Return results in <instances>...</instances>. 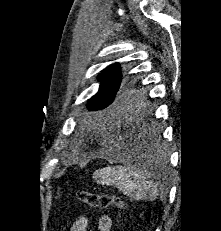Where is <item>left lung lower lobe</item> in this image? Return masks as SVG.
Segmentation results:
<instances>
[{"mask_svg": "<svg viewBox=\"0 0 221 231\" xmlns=\"http://www.w3.org/2000/svg\"><path fill=\"white\" fill-rule=\"evenodd\" d=\"M117 134L123 144V152L141 156L148 151L157 156L160 153V143L158 137L152 133L151 122L147 120H134L129 113L121 116L116 125ZM145 149L146 151L142 150Z\"/></svg>", "mask_w": 221, "mask_h": 231, "instance_id": "0a47b994", "label": "left lung lower lobe"}]
</instances>
